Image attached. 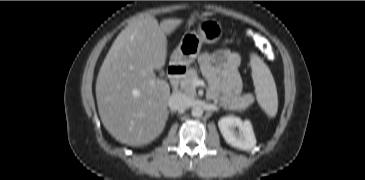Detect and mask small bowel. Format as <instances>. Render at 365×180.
<instances>
[{"label":"small bowel","mask_w":365,"mask_h":180,"mask_svg":"<svg viewBox=\"0 0 365 180\" xmlns=\"http://www.w3.org/2000/svg\"><path fill=\"white\" fill-rule=\"evenodd\" d=\"M242 57L239 53L221 49L214 53H202L199 63L210 83L212 97L229 98L242 90V81L238 72Z\"/></svg>","instance_id":"small-bowel-1"}]
</instances>
